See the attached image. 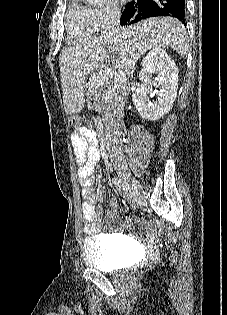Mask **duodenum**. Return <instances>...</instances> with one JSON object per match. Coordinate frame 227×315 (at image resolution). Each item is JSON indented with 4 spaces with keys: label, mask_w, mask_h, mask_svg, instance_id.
I'll use <instances>...</instances> for the list:
<instances>
[{
    "label": "duodenum",
    "mask_w": 227,
    "mask_h": 315,
    "mask_svg": "<svg viewBox=\"0 0 227 315\" xmlns=\"http://www.w3.org/2000/svg\"><path fill=\"white\" fill-rule=\"evenodd\" d=\"M105 142H106V143H109V144H112V142H113V134L108 133V134L106 135V137H105Z\"/></svg>",
    "instance_id": "1"
}]
</instances>
